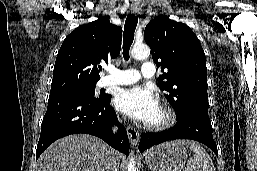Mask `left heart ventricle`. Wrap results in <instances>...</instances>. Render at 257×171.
<instances>
[{"mask_svg": "<svg viewBox=\"0 0 257 171\" xmlns=\"http://www.w3.org/2000/svg\"><path fill=\"white\" fill-rule=\"evenodd\" d=\"M162 119V113L161 111L158 109L156 111V113L152 116V118L148 121L149 123H155V122H159Z\"/></svg>", "mask_w": 257, "mask_h": 171, "instance_id": "obj_1", "label": "left heart ventricle"}]
</instances>
